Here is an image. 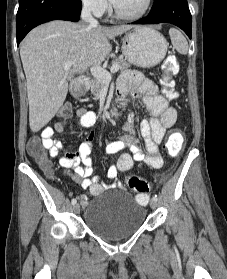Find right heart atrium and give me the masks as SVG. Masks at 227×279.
<instances>
[{"instance_id": "d8ad5b80", "label": "right heart atrium", "mask_w": 227, "mask_h": 279, "mask_svg": "<svg viewBox=\"0 0 227 279\" xmlns=\"http://www.w3.org/2000/svg\"><path fill=\"white\" fill-rule=\"evenodd\" d=\"M82 5L95 15H102L108 9L107 0H80Z\"/></svg>"}]
</instances>
